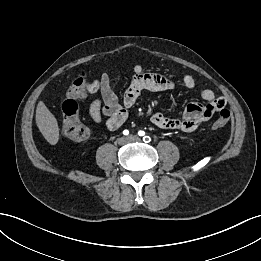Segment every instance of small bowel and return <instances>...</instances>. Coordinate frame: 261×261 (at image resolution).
Returning <instances> with one entry per match:
<instances>
[{
	"instance_id": "obj_1",
	"label": "small bowel",
	"mask_w": 261,
	"mask_h": 261,
	"mask_svg": "<svg viewBox=\"0 0 261 261\" xmlns=\"http://www.w3.org/2000/svg\"><path fill=\"white\" fill-rule=\"evenodd\" d=\"M133 71L134 76L124 93L122 103L118 101L113 88L112 77L108 73L102 75L99 88L101 97L92 101L89 106V115L95 123L105 122L109 129L115 130L125 122L128 110L136 103L142 91H166L173 89L176 85V74L167 77L156 73H145L143 67L139 64L134 66ZM181 82L189 90H195L197 87L194 77L190 74L182 75ZM87 93L80 92L77 98H83ZM199 93L206 104L199 102L188 104L180 119L155 113L151 117V122L165 130L195 131L226 105L225 99L215 97L210 88L203 87L199 90Z\"/></svg>"
}]
</instances>
